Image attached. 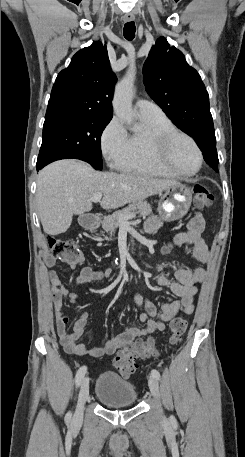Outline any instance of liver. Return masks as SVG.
I'll list each match as a JSON object with an SVG mask.
<instances>
[{"label": "liver", "instance_id": "1", "mask_svg": "<svg viewBox=\"0 0 245 457\" xmlns=\"http://www.w3.org/2000/svg\"><path fill=\"white\" fill-rule=\"evenodd\" d=\"M172 184L179 182L140 172H99L76 158L56 160L39 170L37 178L36 202L43 231L47 235L66 233L73 214L91 210L89 198L95 192H103L99 200L103 208H118L126 202L144 200Z\"/></svg>", "mask_w": 245, "mask_h": 457}]
</instances>
